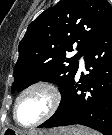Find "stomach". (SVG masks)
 Segmentation results:
<instances>
[{"label":"stomach","mask_w":112,"mask_h":135,"mask_svg":"<svg viewBox=\"0 0 112 135\" xmlns=\"http://www.w3.org/2000/svg\"><path fill=\"white\" fill-rule=\"evenodd\" d=\"M4 134L10 135H82L83 129L80 127H62L49 132L32 131L27 134H21L20 132L12 129H6Z\"/></svg>","instance_id":"1"}]
</instances>
